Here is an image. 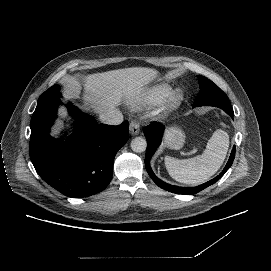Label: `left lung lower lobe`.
Instances as JSON below:
<instances>
[{
	"label": "left lung lower lobe",
	"instance_id": "1",
	"mask_svg": "<svg viewBox=\"0 0 271 271\" xmlns=\"http://www.w3.org/2000/svg\"><path fill=\"white\" fill-rule=\"evenodd\" d=\"M224 111L233 118V116H234L233 110H224ZM163 131H164V125H162L158 122H153L152 124L148 125L144 129V135L148 140L147 149H146V157H145V167H146V170H147L149 176L153 179V181L164 190H167L169 192L176 193V194H187V195L196 194V193L200 192L201 190H203V189L207 188L208 186L217 182L226 173V171L230 168V166L232 165V163L234 161L235 146L232 149L230 158H229L225 168L214 179H212L202 185H199L196 187H191V188L178 187V186H173L168 183H165L155 176V174L153 173V171L150 167V159H151L152 155L154 154L156 148L159 146V144L161 142Z\"/></svg>",
	"mask_w": 271,
	"mask_h": 271
}]
</instances>
